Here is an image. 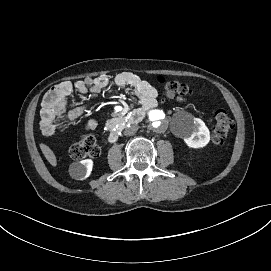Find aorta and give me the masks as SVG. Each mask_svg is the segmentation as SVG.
Masks as SVG:
<instances>
[{"instance_id":"aorta-1","label":"aorta","mask_w":271,"mask_h":271,"mask_svg":"<svg viewBox=\"0 0 271 271\" xmlns=\"http://www.w3.org/2000/svg\"><path fill=\"white\" fill-rule=\"evenodd\" d=\"M144 116L148 128L156 133H161L168 128V113L158 107H147L144 109Z\"/></svg>"}]
</instances>
